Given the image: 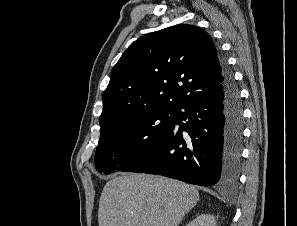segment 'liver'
Here are the masks:
<instances>
[{
    "instance_id": "obj_1",
    "label": "liver",
    "mask_w": 297,
    "mask_h": 226,
    "mask_svg": "<svg viewBox=\"0 0 297 226\" xmlns=\"http://www.w3.org/2000/svg\"><path fill=\"white\" fill-rule=\"evenodd\" d=\"M199 201L191 185L158 175L122 174L103 188L99 226H178Z\"/></svg>"
}]
</instances>
